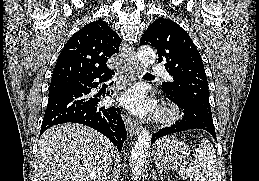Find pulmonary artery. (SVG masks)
<instances>
[{"label":"pulmonary artery","mask_w":259,"mask_h":181,"mask_svg":"<svg viewBox=\"0 0 259 181\" xmlns=\"http://www.w3.org/2000/svg\"><path fill=\"white\" fill-rule=\"evenodd\" d=\"M151 68L154 73L161 74L169 80L172 79V77L165 71L164 67L158 66V65H153Z\"/></svg>","instance_id":"obj_1"}]
</instances>
